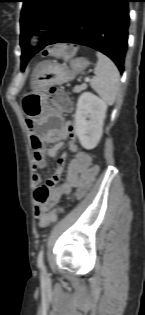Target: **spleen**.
I'll return each mask as SVG.
<instances>
[{"label": "spleen", "mask_w": 145, "mask_h": 315, "mask_svg": "<svg viewBox=\"0 0 145 315\" xmlns=\"http://www.w3.org/2000/svg\"><path fill=\"white\" fill-rule=\"evenodd\" d=\"M97 57L96 77L90 81V85L106 104L112 105L119 91V71L107 56L97 52Z\"/></svg>", "instance_id": "1"}]
</instances>
